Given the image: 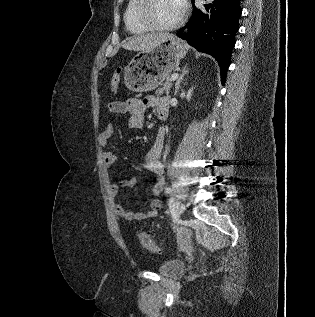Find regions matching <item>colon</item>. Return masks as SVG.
Listing matches in <instances>:
<instances>
[{
  "label": "colon",
  "instance_id": "5ec220e1",
  "mask_svg": "<svg viewBox=\"0 0 315 317\" xmlns=\"http://www.w3.org/2000/svg\"><path fill=\"white\" fill-rule=\"evenodd\" d=\"M120 69H118L115 74L113 75L112 79H111V89L112 91H116L119 83H120ZM140 244L142 245V247L152 253H158L160 251V248L158 247V245L156 244V242L153 240V238L148 235L145 232H140L138 235Z\"/></svg>",
  "mask_w": 315,
  "mask_h": 317
}]
</instances>
